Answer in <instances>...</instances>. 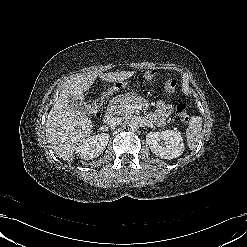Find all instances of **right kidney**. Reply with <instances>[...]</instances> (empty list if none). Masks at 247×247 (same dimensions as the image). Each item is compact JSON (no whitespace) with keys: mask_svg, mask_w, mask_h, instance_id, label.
<instances>
[{"mask_svg":"<svg viewBox=\"0 0 247 247\" xmlns=\"http://www.w3.org/2000/svg\"><path fill=\"white\" fill-rule=\"evenodd\" d=\"M109 138L110 135L107 133L88 137L76 146L75 153L84 160L94 159L103 153L109 142Z\"/></svg>","mask_w":247,"mask_h":247,"instance_id":"ca27d5eb","label":"right kidney"}]
</instances>
